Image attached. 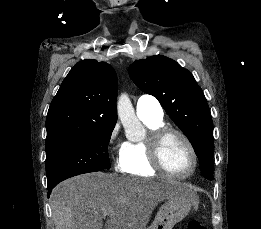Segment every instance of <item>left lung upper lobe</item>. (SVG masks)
<instances>
[{"mask_svg": "<svg viewBox=\"0 0 261 229\" xmlns=\"http://www.w3.org/2000/svg\"><path fill=\"white\" fill-rule=\"evenodd\" d=\"M133 82L156 97L191 142L202 176L213 179V122L203 91L192 74L174 60L155 55L129 67Z\"/></svg>", "mask_w": 261, "mask_h": 229, "instance_id": "obj_1", "label": "left lung upper lobe"}]
</instances>
